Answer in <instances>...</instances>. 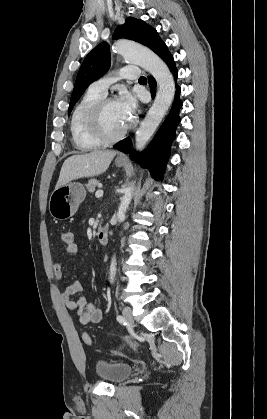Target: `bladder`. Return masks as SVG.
<instances>
[{"mask_svg":"<svg viewBox=\"0 0 267 419\" xmlns=\"http://www.w3.org/2000/svg\"><path fill=\"white\" fill-rule=\"evenodd\" d=\"M133 367L130 364L112 361L109 359H99L95 363L96 375L104 382L119 384L129 377Z\"/></svg>","mask_w":267,"mask_h":419,"instance_id":"31cf9c89","label":"bladder"}]
</instances>
